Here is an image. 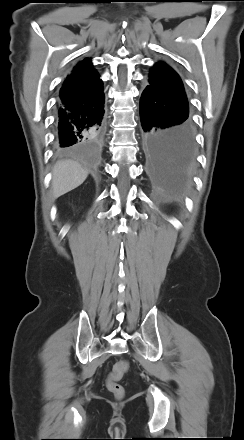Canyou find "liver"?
Listing matches in <instances>:
<instances>
[{
    "label": "liver",
    "mask_w": 244,
    "mask_h": 440,
    "mask_svg": "<svg viewBox=\"0 0 244 440\" xmlns=\"http://www.w3.org/2000/svg\"><path fill=\"white\" fill-rule=\"evenodd\" d=\"M52 196L54 199L80 186L88 176V171L71 160L58 161L52 170Z\"/></svg>",
    "instance_id": "6515ba94"
}]
</instances>
